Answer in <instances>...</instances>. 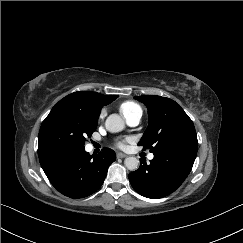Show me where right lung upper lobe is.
<instances>
[{"label":"right lung upper lobe","mask_w":243,"mask_h":243,"mask_svg":"<svg viewBox=\"0 0 243 243\" xmlns=\"http://www.w3.org/2000/svg\"><path fill=\"white\" fill-rule=\"evenodd\" d=\"M118 95L109 96L96 92L79 91L67 95L57 104L78 110L83 114L98 119L101 108L114 101Z\"/></svg>","instance_id":"cb5924a9"}]
</instances>
